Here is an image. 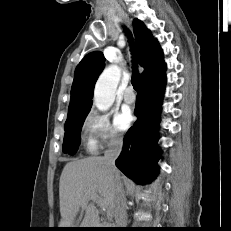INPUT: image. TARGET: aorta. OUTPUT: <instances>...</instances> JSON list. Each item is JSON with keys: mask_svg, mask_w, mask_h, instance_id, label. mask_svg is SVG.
I'll return each instance as SVG.
<instances>
[{"mask_svg": "<svg viewBox=\"0 0 231 231\" xmlns=\"http://www.w3.org/2000/svg\"><path fill=\"white\" fill-rule=\"evenodd\" d=\"M121 78V69L110 65L100 75L94 89V104L100 111L108 110L115 101V93Z\"/></svg>", "mask_w": 231, "mask_h": 231, "instance_id": "aorta-1", "label": "aorta"}]
</instances>
